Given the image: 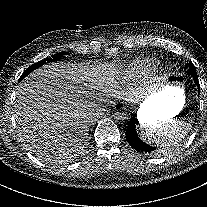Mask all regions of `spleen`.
Wrapping results in <instances>:
<instances>
[{"label": "spleen", "instance_id": "spleen-1", "mask_svg": "<svg viewBox=\"0 0 207 207\" xmlns=\"http://www.w3.org/2000/svg\"><path fill=\"white\" fill-rule=\"evenodd\" d=\"M193 126V119L183 116L177 120H158L151 124H143L139 127L138 134L153 145L168 146L180 143Z\"/></svg>", "mask_w": 207, "mask_h": 207}]
</instances>
